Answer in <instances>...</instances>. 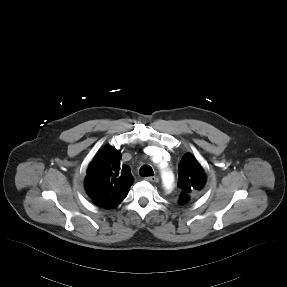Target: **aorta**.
Returning a JSON list of instances; mask_svg holds the SVG:
<instances>
[{
  "instance_id": "1",
  "label": "aorta",
  "mask_w": 287,
  "mask_h": 287,
  "mask_svg": "<svg viewBox=\"0 0 287 287\" xmlns=\"http://www.w3.org/2000/svg\"><path fill=\"white\" fill-rule=\"evenodd\" d=\"M162 178H163V183L165 185L166 188H170L171 184L173 182V175L172 173L168 172V171H163L162 172Z\"/></svg>"
}]
</instances>
